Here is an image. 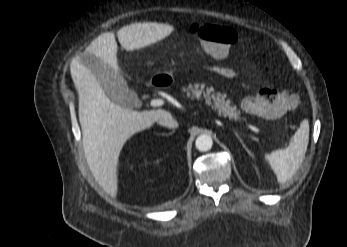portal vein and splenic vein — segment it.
I'll use <instances>...</instances> for the list:
<instances>
[{
    "mask_svg": "<svg viewBox=\"0 0 347 247\" xmlns=\"http://www.w3.org/2000/svg\"><path fill=\"white\" fill-rule=\"evenodd\" d=\"M150 105L153 106V107H157V106H162L163 105V100L161 99H152L151 102H150ZM248 127L255 133H260V129L257 128L256 126H253V125H248Z\"/></svg>",
    "mask_w": 347,
    "mask_h": 247,
    "instance_id": "1",
    "label": "portal vein and splenic vein"
}]
</instances>
